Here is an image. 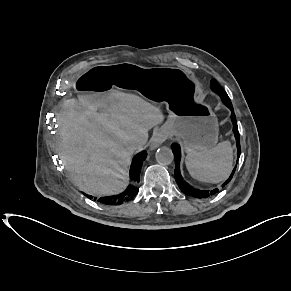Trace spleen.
Here are the masks:
<instances>
[{
    "label": "spleen",
    "mask_w": 291,
    "mask_h": 291,
    "mask_svg": "<svg viewBox=\"0 0 291 291\" xmlns=\"http://www.w3.org/2000/svg\"><path fill=\"white\" fill-rule=\"evenodd\" d=\"M233 148L229 141L218 143L214 148L190 152L185 164L190 175L199 181L218 183L228 178L232 170Z\"/></svg>",
    "instance_id": "obj_1"
}]
</instances>
